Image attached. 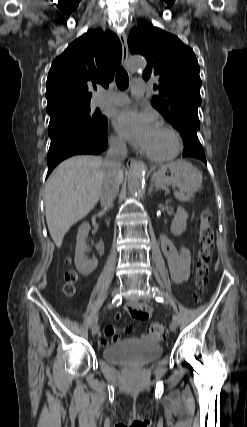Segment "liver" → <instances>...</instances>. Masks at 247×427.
<instances>
[{
	"instance_id": "liver-1",
	"label": "liver",
	"mask_w": 247,
	"mask_h": 427,
	"mask_svg": "<svg viewBox=\"0 0 247 427\" xmlns=\"http://www.w3.org/2000/svg\"><path fill=\"white\" fill-rule=\"evenodd\" d=\"M105 173V159L79 155L63 161L48 178L45 194L46 222L58 248L68 230L97 204ZM123 178L121 170L120 182Z\"/></svg>"
}]
</instances>
